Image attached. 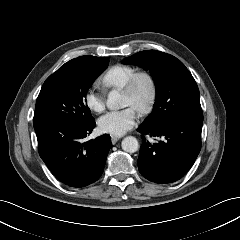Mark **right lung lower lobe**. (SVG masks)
<instances>
[{
	"label": "right lung lower lobe",
	"instance_id": "1",
	"mask_svg": "<svg viewBox=\"0 0 240 240\" xmlns=\"http://www.w3.org/2000/svg\"><path fill=\"white\" fill-rule=\"evenodd\" d=\"M94 127L95 120L82 125L50 119L34 121L40 157L53 175L70 187L90 185L103 173L112 143L107 134L86 141Z\"/></svg>",
	"mask_w": 240,
	"mask_h": 240
}]
</instances>
